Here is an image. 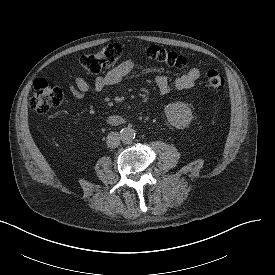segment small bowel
Wrapping results in <instances>:
<instances>
[{"instance_id": "1", "label": "small bowel", "mask_w": 275, "mask_h": 275, "mask_svg": "<svg viewBox=\"0 0 275 275\" xmlns=\"http://www.w3.org/2000/svg\"><path fill=\"white\" fill-rule=\"evenodd\" d=\"M135 69L133 60H125L118 66L102 76L96 77L92 82L87 81L81 76H77L69 83L68 89L71 95L77 99H84L89 93H98L107 87L118 84L126 76L130 75ZM200 77V71L197 68H190L182 75L171 81L166 75L158 74L155 77V83L161 94L169 93L173 90H185L192 88Z\"/></svg>"}]
</instances>
